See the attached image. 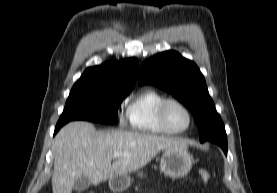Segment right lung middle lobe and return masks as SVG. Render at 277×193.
I'll list each match as a JSON object with an SVG mask.
<instances>
[{"label": "right lung middle lobe", "mask_w": 277, "mask_h": 193, "mask_svg": "<svg viewBox=\"0 0 277 193\" xmlns=\"http://www.w3.org/2000/svg\"><path fill=\"white\" fill-rule=\"evenodd\" d=\"M129 94L123 91H93L72 89L58 124L86 120L113 124L122 100Z\"/></svg>", "instance_id": "dd1d6c3e"}]
</instances>
